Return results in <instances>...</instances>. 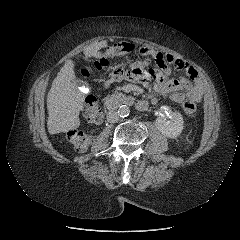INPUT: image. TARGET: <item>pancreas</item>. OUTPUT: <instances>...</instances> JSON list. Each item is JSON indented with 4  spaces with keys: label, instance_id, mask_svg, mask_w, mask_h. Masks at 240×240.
Listing matches in <instances>:
<instances>
[{
    "label": "pancreas",
    "instance_id": "pancreas-1",
    "mask_svg": "<svg viewBox=\"0 0 240 240\" xmlns=\"http://www.w3.org/2000/svg\"><path fill=\"white\" fill-rule=\"evenodd\" d=\"M131 97H127L125 94L119 93V92H115L114 94L110 95L109 97V101H128L130 100Z\"/></svg>",
    "mask_w": 240,
    "mask_h": 240
}]
</instances>
